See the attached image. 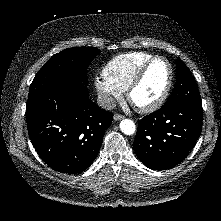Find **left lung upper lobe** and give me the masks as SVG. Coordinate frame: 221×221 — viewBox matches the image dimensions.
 <instances>
[{
  "instance_id": "obj_1",
  "label": "left lung upper lobe",
  "mask_w": 221,
  "mask_h": 221,
  "mask_svg": "<svg viewBox=\"0 0 221 221\" xmlns=\"http://www.w3.org/2000/svg\"><path fill=\"white\" fill-rule=\"evenodd\" d=\"M176 83L172 94L169 96L165 104L174 102H190L194 104H202L198 87L191 75L188 67L180 58L176 61Z\"/></svg>"
}]
</instances>
